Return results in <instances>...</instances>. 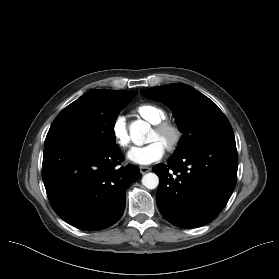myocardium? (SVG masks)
Here are the masks:
<instances>
[{
  "label": "myocardium",
  "instance_id": "1",
  "mask_svg": "<svg viewBox=\"0 0 279 279\" xmlns=\"http://www.w3.org/2000/svg\"><path fill=\"white\" fill-rule=\"evenodd\" d=\"M153 130L160 136H168L164 146L170 152L176 150L182 140V130L174 122L162 120L153 125Z\"/></svg>",
  "mask_w": 279,
  "mask_h": 279
}]
</instances>
